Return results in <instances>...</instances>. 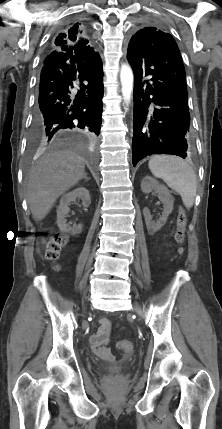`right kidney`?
<instances>
[{
	"mask_svg": "<svg viewBox=\"0 0 222 429\" xmlns=\"http://www.w3.org/2000/svg\"><path fill=\"white\" fill-rule=\"evenodd\" d=\"M76 199H81L82 205L84 207H88L91 203L89 191L84 187L76 188L71 192H68L62 195L60 199V205L57 209V226L63 232H67L71 230V228H69L68 224L66 223L67 222L66 217L70 211L69 209L70 203L75 202ZM81 231H82V225L79 224L77 227L73 229V234L74 235L79 234L81 233Z\"/></svg>",
	"mask_w": 222,
	"mask_h": 429,
	"instance_id": "obj_1",
	"label": "right kidney"
}]
</instances>
